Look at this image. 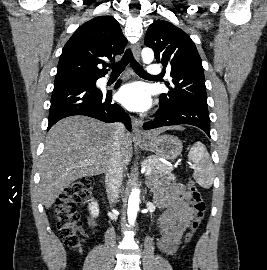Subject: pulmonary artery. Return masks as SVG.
I'll return each instance as SVG.
<instances>
[{
  "instance_id": "obj_1",
  "label": "pulmonary artery",
  "mask_w": 267,
  "mask_h": 270,
  "mask_svg": "<svg viewBox=\"0 0 267 270\" xmlns=\"http://www.w3.org/2000/svg\"><path fill=\"white\" fill-rule=\"evenodd\" d=\"M147 72L150 75H156L160 72V68H159V66L152 64V65L148 66Z\"/></svg>"
}]
</instances>
